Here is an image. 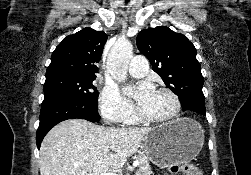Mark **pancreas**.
I'll return each instance as SVG.
<instances>
[{
    "label": "pancreas",
    "instance_id": "obj_1",
    "mask_svg": "<svg viewBox=\"0 0 251 175\" xmlns=\"http://www.w3.org/2000/svg\"><path fill=\"white\" fill-rule=\"evenodd\" d=\"M136 159H138V171H136V175H150L151 173V165L149 163L148 157L146 155H137Z\"/></svg>",
    "mask_w": 251,
    "mask_h": 175
}]
</instances>
